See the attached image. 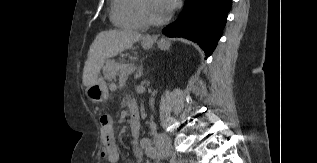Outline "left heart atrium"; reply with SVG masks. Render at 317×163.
Listing matches in <instances>:
<instances>
[{
	"label": "left heart atrium",
	"mask_w": 317,
	"mask_h": 163,
	"mask_svg": "<svg viewBox=\"0 0 317 163\" xmlns=\"http://www.w3.org/2000/svg\"><path fill=\"white\" fill-rule=\"evenodd\" d=\"M161 2L168 13L172 11L177 4V0H161Z\"/></svg>",
	"instance_id": "obj_1"
}]
</instances>
